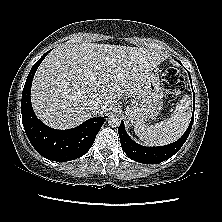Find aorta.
<instances>
[{"label": "aorta", "mask_w": 222, "mask_h": 222, "mask_svg": "<svg viewBox=\"0 0 222 222\" xmlns=\"http://www.w3.org/2000/svg\"><path fill=\"white\" fill-rule=\"evenodd\" d=\"M108 123L112 127H118L121 124V118L119 115L111 114L108 118Z\"/></svg>", "instance_id": "obj_1"}]
</instances>
